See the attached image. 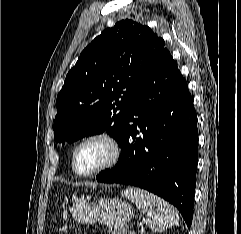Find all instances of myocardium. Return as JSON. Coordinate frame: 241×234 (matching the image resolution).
Wrapping results in <instances>:
<instances>
[{
    "label": "myocardium",
    "instance_id": "1",
    "mask_svg": "<svg viewBox=\"0 0 241 234\" xmlns=\"http://www.w3.org/2000/svg\"><path fill=\"white\" fill-rule=\"evenodd\" d=\"M91 141L104 142L110 150V155L103 164H101L97 168L93 169L92 171L80 172L76 168L77 152L82 145H84L88 142H91ZM121 153H122L121 145H120L119 141L113 135H111L110 133L105 132V131L94 132V133L84 136L75 144V146L72 150V154H71V167H72L73 172L78 176L92 177V176L97 175L100 172H103V171L115 166L118 163V161L120 160Z\"/></svg>",
    "mask_w": 241,
    "mask_h": 234
}]
</instances>
